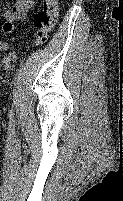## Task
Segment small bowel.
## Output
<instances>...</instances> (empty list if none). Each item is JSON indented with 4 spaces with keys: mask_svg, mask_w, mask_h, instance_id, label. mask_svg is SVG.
<instances>
[{
    "mask_svg": "<svg viewBox=\"0 0 123 201\" xmlns=\"http://www.w3.org/2000/svg\"><path fill=\"white\" fill-rule=\"evenodd\" d=\"M33 0H17L11 10L3 13L2 30L11 33L15 29V22L23 20L33 8Z\"/></svg>",
    "mask_w": 123,
    "mask_h": 201,
    "instance_id": "1",
    "label": "small bowel"
}]
</instances>
